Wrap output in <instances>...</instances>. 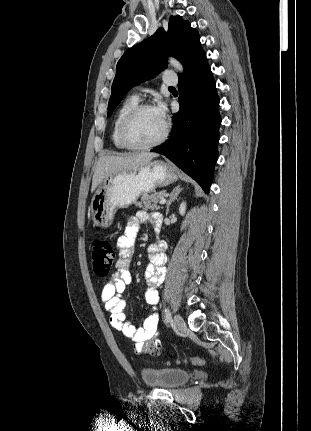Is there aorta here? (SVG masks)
<instances>
[{"instance_id":"1","label":"aorta","mask_w":311,"mask_h":431,"mask_svg":"<svg viewBox=\"0 0 311 431\" xmlns=\"http://www.w3.org/2000/svg\"><path fill=\"white\" fill-rule=\"evenodd\" d=\"M169 64L175 68V70H178V72H183V66L178 62V60H175V58H169L168 60Z\"/></svg>"}]
</instances>
